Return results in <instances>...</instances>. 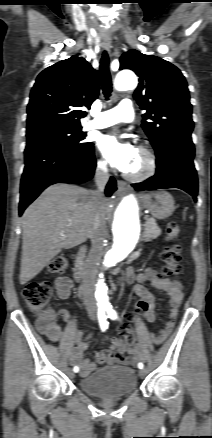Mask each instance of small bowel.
Instances as JSON below:
<instances>
[{"label":"small bowel","instance_id":"small-bowel-1","mask_svg":"<svg viewBox=\"0 0 212 438\" xmlns=\"http://www.w3.org/2000/svg\"><path fill=\"white\" fill-rule=\"evenodd\" d=\"M125 280L128 283L137 282V284L134 285L133 290L139 297L146 294H150L153 297L143 284H148L153 288L165 292L169 296L170 318L157 337L159 341L165 340L170 335L175 325L176 316L184 297L182 285L178 281L161 278L152 268H148L143 273L139 274H136L133 268H128L125 273ZM55 287L58 297L66 300L71 295L73 282L67 276H60L55 281ZM57 315L61 316L66 322L70 321V315L68 311L64 309L59 310ZM155 319V311L153 310L147 321L153 323ZM38 328L51 341L56 342L60 339L61 329L54 320L39 321ZM75 338L77 340V347L70 352V361L80 366V375L85 377L95 369L94 363L89 359H84L82 357L83 351L88 347L89 336L83 338L79 333H76ZM125 353H128L129 356H125ZM94 356L100 364L128 366L136 365L141 359H143V352L138 349L129 348L122 340L114 338L108 348L96 352Z\"/></svg>","mask_w":212,"mask_h":438}]
</instances>
